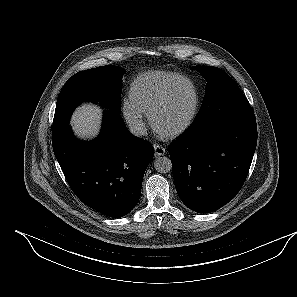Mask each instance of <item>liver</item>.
Wrapping results in <instances>:
<instances>
[{"instance_id": "liver-1", "label": "liver", "mask_w": 297, "mask_h": 297, "mask_svg": "<svg viewBox=\"0 0 297 297\" xmlns=\"http://www.w3.org/2000/svg\"><path fill=\"white\" fill-rule=\"evenodd\" d=\"M102 110L91 104L78 107L71 119V126L79 138H93L98 134Z\"/></svg>"}]
</instances>
